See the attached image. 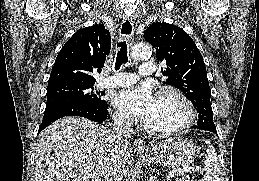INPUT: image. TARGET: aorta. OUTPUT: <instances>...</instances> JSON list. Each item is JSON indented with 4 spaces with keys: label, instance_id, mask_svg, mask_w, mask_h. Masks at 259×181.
<instances>
[{
    "label": "aorta",
    "instance_id": "762f6f07",
    "mask_svg": "<svg viewBox=\"0 0 259 181\" xmlns=\"http://www.w3.org/2000/svg\"><path fill=\"white\" fill-rule=\"evenodd\" d=\"M131 55L134 59H146L151 55V50L148 44L138 43L132 47Z\"/></svg>",
    "mask_w": 259,
    "mask_h": 181
}]
</instances>
